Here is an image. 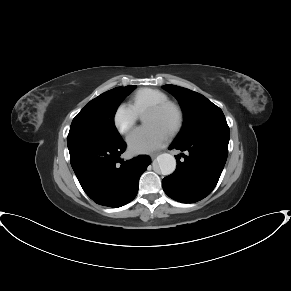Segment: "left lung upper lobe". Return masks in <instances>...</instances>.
Returning a JSON list of instances; mask_svg holds the SVG:
<instances>
[{"label":"left lung upper lobe","instance_id":"left-lung-upper-lobe-1","mask_svg":"<svg viewBox=\"0 0 291 291\" xmlns=\"http://www.w3.org/2000/svg\"><path fill=\"white\" fill-rule=\"evenodd\" d=\"M163 88L178 99L184 113V126L175 143H186L212 134L229 133L222 110L205 96L175 85H164Z\"/></svg>","mask_w":291,"mask_h":291}]
</instances>
